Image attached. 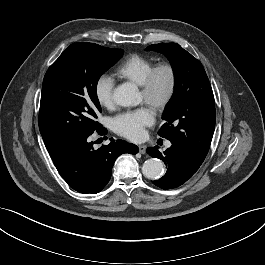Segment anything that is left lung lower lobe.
<instances>
[{
  "label": "left lung lower lobe",
  "mask_w": 265,
  "mask_h": 265,
  "mask_svg": "<svg viewBox=\"0 0 265 265\" xmlns=\"http://www.w3.org/2000/svg\"><path fill=\"white\" fill-rule=\"evenodd\" d=\"M147 153L164 161L167 173L159 180L152 181L156 186L166 190L179 187L185 183L200 167L202 161L194 157L185 148L172 143L164 153L158 147L147 148Z\"/></svg>",
  "instance_id": "1"
}]
</instances>
